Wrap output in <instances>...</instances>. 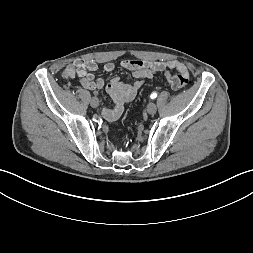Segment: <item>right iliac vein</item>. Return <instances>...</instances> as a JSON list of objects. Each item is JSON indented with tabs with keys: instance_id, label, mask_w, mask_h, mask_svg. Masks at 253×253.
<instances>
[{
	"instance_id": "63e3f726",
	"label": "right iliac vein",
	"mask_w": 253,
	"mask_h": 253,
	"mask_svg": "<svg viewBox=\"0 0 253 253\" xmlns=\"http://www.w3.org/2000/svg\"><path fill=\"white\" fill-rule=\"evenodd\" d=\"M90 105L93 107V108H97L99 106V100L98 98L96 97H93L90 101Z\"/></svg>"
}]
</instances>
